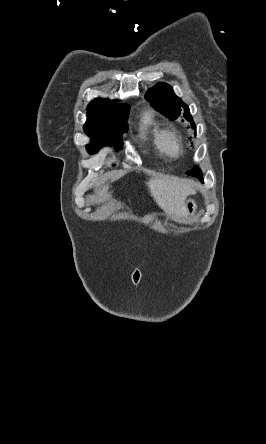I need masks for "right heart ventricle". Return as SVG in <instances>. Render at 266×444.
Returning <instances> with one entry per match:
<instances>
[{
  "mask_svg": "<svg viewBox=\"0 0 266 444\" xmlns=\"http://www.w3.org/2000/svg\"><path fill=\"white\" fill-rule=\"evenodd\" d=\"M164 129L151 111H145L140 119L139 132L142 139L149 142L157 151L165 153L162 145Z\"/></svg>",
  "mask_w": 266,
  "mask_h": 444,
  "instance_id": "1",
  "label": "right heart ventricle"
}]
</instances>
